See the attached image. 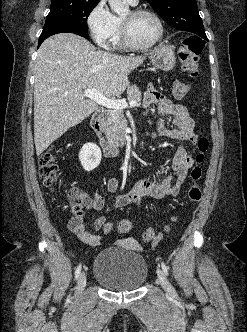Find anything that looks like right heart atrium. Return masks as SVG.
Returning a JSON list of instances; mask_svg holds the SVG:
<instances>
[{
	"mask_svg": "<svg viewBox=\"0 0 247 332\" xmlns=\"http://www.w3.org/2000/svg\"><path fill=\"white\" fill-rule=\"evenodd\" d=\"M86 25L93 41L100 47L108 48L117 23L105 0H99L91 8L86 17Z\"/></svg>",
	"mask_w": 247,
	"mask_h": 332,
	"instance_id": "1",
	"label": "right heart atrium"
}]
</instances>
